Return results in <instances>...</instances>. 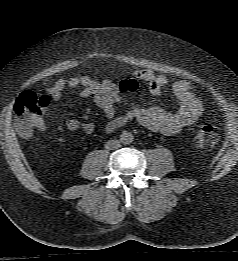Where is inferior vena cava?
Segmentation results:
<instances>
[{
  "label": "inferior vena cava",
  "mask_w": 238,
  "mask_h": 261,
  "mask_svg": "<svg viewBox=\"0 0 238 261\" xmlns=\"http://www.w3.org/2000/svg\"><path fill=\"white\" fill-rule=\"evenodd\" d=\"M120 147V142L118 140H109L105 144V148L108 150H115Z\"/></svg>",
  "instance_id": "inferior-vena-cava-1"
}]
</instances>
